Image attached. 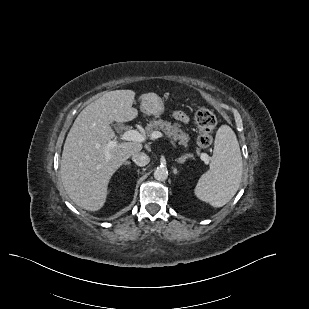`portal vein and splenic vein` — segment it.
<instances>
[{"instance_id": "portal-vein-and-splenic-vein-1", "label": "portal vein and splenic vein", "mask_w": 309, "mask_h": 309, "mask_svg": "<svg viewBox=\"0 0 309 309\" xmlns=\"http://www.w3.org/2000/svg\"><path fill=\"white\" fill-rule=\"evenodd\" d=\"M163 133L159 132V131H154L151 134V137L153 139H158L163 137ZM122 140L125 141H136V142H144L146 140V137L143 136L140 132H138L137 130H128L126 132H124L121 136ZM171 144L173 145L174 148H176V144L173 140H170ZM117 145V141L112 140L110 142H108L107 146H106V160H108L110 158V154H109V150L113 147H115ZM201 159L205 162H208V155L205 153L201 154Z\"/></svg>"}]
</instances>
